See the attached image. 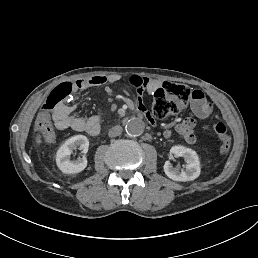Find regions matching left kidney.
<instances>
[{
  "mask_svg": "<svg viewBox=\"0 0 258 258\" xmlns=\"http://www.w3.org/2000/svg\"><path fill=\"white\" fill-rule=\"evenodd\" d=\"M175 155L177 158L183 157L186 165L180 170L174 167L169 160L164 163L166 175L175 181H191L200 174V159L197 153L184 146H174L169 151V156Z\"/></svg>",
  "mask_w": 258,
  "mask_h": 258,
  "instance_id": "1",
  "label": "left kidney"
}]
</instances>
